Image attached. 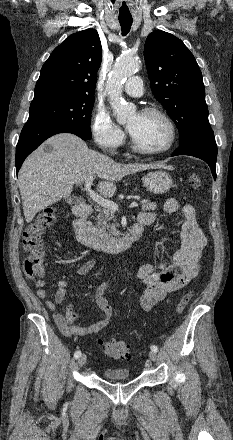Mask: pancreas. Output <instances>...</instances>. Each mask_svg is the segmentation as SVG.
<instances>
[{
  "instance_id": "cf45deb5",
  "label": "pancreas",
  "mask_w": 233,
  "mask_h": 440,
  "mask_svg": "<svg viewBox=\"0 0 233 440\" xmlns=\"http://www.w3.org/2000/svg\"><path fill=\"white\" fill-rule=\"evenodd\" d=\"M143 211H154L157 208V204L148 200H142ZM114 219V211L104 208L100 210L97 217V225L94 227L96 235L103 240L110 239L112 236H117L119 233L116 229V223H111Z\"/></svg>"
}]
</instances>
